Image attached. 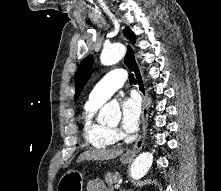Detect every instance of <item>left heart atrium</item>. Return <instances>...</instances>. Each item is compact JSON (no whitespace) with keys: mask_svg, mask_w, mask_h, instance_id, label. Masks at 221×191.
Segmentation results:
<instances>
[{"mask_svg":"<svg viewBox=\"0 0 221 191\" xmlns=\"http://www.w3.org/2000/svg\"><path fill=\"white\" fill-rule=\"evenodd\" d=\"M122 128L129 133L137 130L140 122V102L134 95L124 97L121 101Z\"/></svg>","mask_w":221,"mask_h":191,"instance_id":"left-heart-atrium-1","label":"left heart atrium"}]
</instances>
